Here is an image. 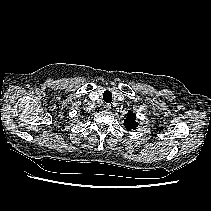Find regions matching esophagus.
<instances>
[{
  "mask_svg": "<svg viewBox=\"0 0 211 211\" xmlns=\"http://www.w3.org/2000/svg\"><path fill=\"white\" fill-rule=\"evenodd\" d=\"M104 109H105L106 111H109V110L111 109V105H110V104H105V105H104Z\"/></svg>",
  "mask_w": 211,
  "mask_h": 211,
  "instance_id": "34e87169",
  "label": "esophagus"
}]
</instances>
